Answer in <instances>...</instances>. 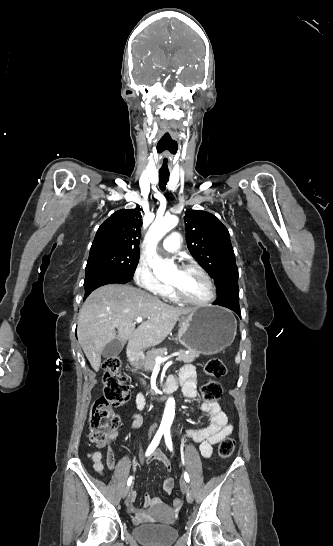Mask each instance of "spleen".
Returning a JSON list of instances; mask_svg holds the SVG:
<instances>
[{
  "mask_svg": "<svg viewBox=\"0 0 333 546\" xmlns=\"http://www.w3.org/2000/svg\"><path fill=\"white\" fill-rule=\"evenodd\" d=\"M235 362L238 364L240 362V355L237 354L236 358H235Z\"/></svg>",
  "mask_w": 333,
  "mask_h": 546,
  "instance_id": "obj_1",
  "label": "spleen"
}]
</instances>
